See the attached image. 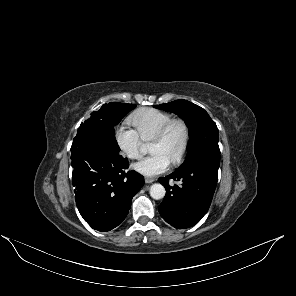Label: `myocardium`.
<instances>
[{
	"label": "myocardium",
	"instance_id": "f54148a6",
	"mask_svg": "<svg viewBox=\"0 0 296 296\" xmlns=\"http://www.w3.org/2000/svg\"><path fill=\"white\" fill-rule=\"evenodd\" d=\"M175 125H180L183 128L185 137H184V143L180 153L177 155L176 158H174L171 161L173 165L179 164L184 159L189 149V145L191 141V131L187 121L182 118H172L161 128V130L152 139V142L165 140L170 130Z\"/></svg>",
	"mask_w": 296,
	"mask_h": 296
}]
</instances>
